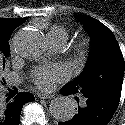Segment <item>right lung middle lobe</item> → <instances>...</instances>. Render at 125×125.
<instances>
[{
    "instance_id": "right-lung-middle-lobe-1",
    "label": "right lung middle lobe",
    "mask_w": 125,
    "mask_h": 125,
    "mask_svg": "<svg viewBox=\"0 0 125 125\" xmlns=\"http://www.w3.org/2000/svg\"><path fill=\"white\" fill-rule=\"evenodd\" d=\"M12 31L9 30H0V54L3 56H8L10 53L9 39L11 37ZM1 63L3 62V66H5L4 59L0 58Z\"/></svg>"
}]
</instances>
